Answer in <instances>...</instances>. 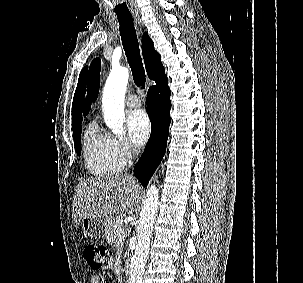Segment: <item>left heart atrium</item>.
Returning <instances> with one entry per match:
<instances>
[{
    "mask_svg": "<svg viewBox=\"0 0 303 283\" xmlns=\"http://www.w3.org/2000/svg\"><path fill=\"white\" fill-rule=\"evenodd\" d=\"M127 129L131 141L138 146L143 145L149 138L151 124L144 110H135L128 114Z\"/></svg>",
    "mask_w": 303,
    "mask_h": 283,
    "instance_id": "obj_1",
    "label": "left heart atrium"
}]
</instances>
